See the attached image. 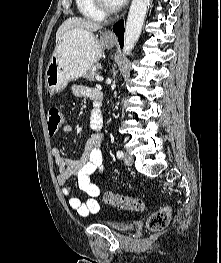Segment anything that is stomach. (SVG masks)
Segmentation results:
<instances>
[{
	"label": "stomach",
	"mask_w": 221,
	"mask_h": 263,
	"mask_svg": "<svg viewBox=\"0 0 221 263\" xmlns=\"http://www.w3.org/2000/svg\"><path fill=\"white\" fill-rule=\"evenodd\" d=\"M115 40L102 35L100 39L83 30L65 32L56 45L45 71V86L50 93L62 91L70 81L82 77L111 49Z\"/></svg>",
	"instance_id": "1"
}]
</instances>
